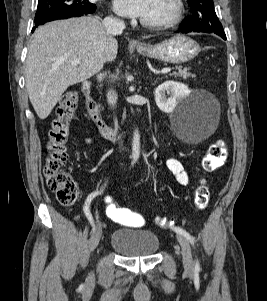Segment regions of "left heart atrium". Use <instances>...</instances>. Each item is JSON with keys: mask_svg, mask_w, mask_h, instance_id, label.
I'll return each mask as SVG.
<instances>
[{"mask_svg": "<svg viewBox=\"0 0 267 301\" xmlns=\"http://www.w3.org/2000/svg\"><path fill=\"white\" fill-rule=\"evenodd\" d=\"M149 0H113L116 11L126 17H142Z\"/></svg>", "mask_w": 267, "mask_h": 301, "instance_id": "left-heart-atrium-1", "label": "left heart atrium"}]
</instances>
